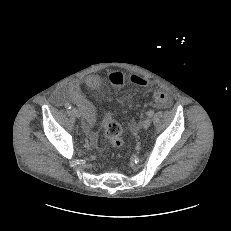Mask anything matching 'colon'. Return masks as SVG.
Instances as JSON below:
<instances>
[{
    "label": "colon",
    "mask_w": 231,
    "mask_h": 231,
    "mask_svg": "<svg viewBox=\"0 0 231 231\" xmlns=\"http://www.w3.org/2000/svg\"><path fill=\"white\" fill-rule=\"evenodd\" d=\"M125 78V74L121 71H114L109 74V81L114 87L122 86ZM130 80L136 85H144L146 83L142 77L135 74L131 75ZM154 98L160 104H165L168 101V96L164 92H156ZM104 131L113 149L119 150L123 147L122 127L110 113H106L104 116Z\"/></svg>",
    "instance_id": "5ec220e1"
}]
</instances>
